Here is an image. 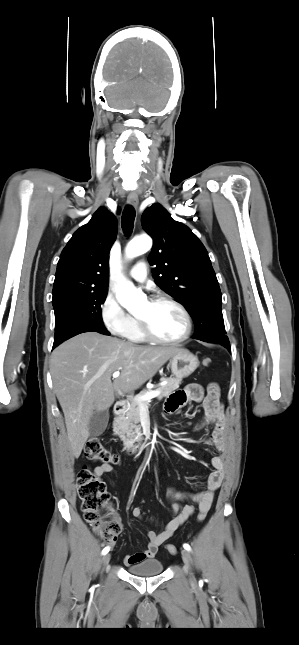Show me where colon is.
<instances>
[{
  "mask_svg": "<svg viewBox=\"0 0 299 645\" xmlns=\"http://www.w3.org/2000/svg\"><path fill=\"white\" fill-rule=\"evenodd\" d=\"M202 363L205 367H209L212 360L206 357ZM84 452L86 458L91 461L100 462L101 464L119 463L118 455L107 450L97 437L90 438L87 441ZM77 486L84 519L106 543H113L122 526L113 514L110 495L104 482L89 468L85 467L77 474ZM206 514V512L200 511L197 516L198 522H203ZM166 548L170 554L177 553V547L173 544L167 545Z\"/></svg>",
  "mask_w": 299,
  "mask_h": 645,
  "instance_id": "5ec220e1",
  "label": "colon"
}]
</instances>
